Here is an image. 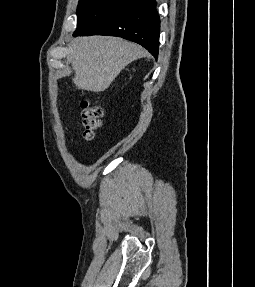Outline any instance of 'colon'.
<instances>
[{
  "label": "colon",
  "instance_id": "1",
  "mask_svg": "<svg viewBox=\"0 0 255 287\" xmlns=\"http://www.w3.org/2000/svg\"><path fill=\"white\" fill-rule=\"evenodd\" d=\"M82 120L84 125V138L92 140L95 138L97 131L103 124V109L91 100H83L81 103Z\"/></svg>",
  "mask_w": 255,
  "mask_h": 287
}]
</instances>
